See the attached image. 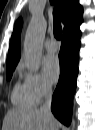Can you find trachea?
I'll return each mask as SVG.
<instances>
[{"instance_id":"trachea-1","label":"trachea","mask_w":95,"mask_h":130,"mask_svg":"<svg viewBox=\"0 0 95 130\" xmlns=\"http://www.w3.org/2000/svg\"><path fill=\"white\" fill-rule=\"evenodd\" d=\"M53 16H54L53 33H54L55 38L57 40H60L62 37V26H61L60 18L56 11H54Z\"/></svg>"}]
</instances>
